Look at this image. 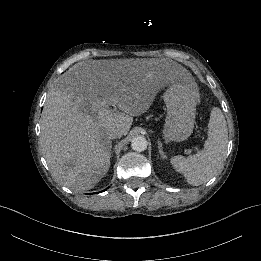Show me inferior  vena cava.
Segmentation results:
<instances>
[{
  "label": "inferior vena cava",
  "mask_w": 261,
  "mask_h": 261,
  "mask_svg": "<svg viewBox=\"0 0 261 261\" xmlns=\"http://www.w3.org/2000/svg\"><path fill=\"white\" fill-rule=\"evenodd\" d=\"M122 135H123V131L118 128L112 129L111 131L108 132V137L110 139L120 138Z\"/></svg>",
  "instance_id": "1"
}]
</instances>
